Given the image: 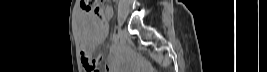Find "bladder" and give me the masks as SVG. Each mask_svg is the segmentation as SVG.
<instances>
[{"label":"bladder","mask_w":267,"mask_h":72,"mask_svg":"<svg viewBox=\"0 0 267 72\" xmlns=\"http://www.w3.org/2000/svg\"><path fill=\"white\" fill-rule=\"evenodd\" d=\"M87 20H88V25L91 26V22L93 21L90 17H87Z\"/></svg>","instance_id":"31cf9c89"}]
</instances>
